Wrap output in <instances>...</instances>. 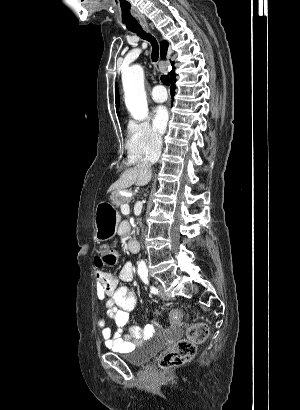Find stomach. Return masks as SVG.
<instances>
[{"instance_id": "0dacf381", "label": "stomach", "mask_w": 300, "mask_h": 410, "mask_svg": "<svg viewBox=\"0 0 300 410\" xmlns=\"http://www.w3.org/2000/svg\"><path fill=\"white\" fill-rule=\"evenodd\" d=\"M118 192L114 191L111 195L112 204L103 202L97 206L95 214V236L98 241H106L115 236L120 222L119 212L116 210L115 201Z\"/></svg>"}]
</instances>
